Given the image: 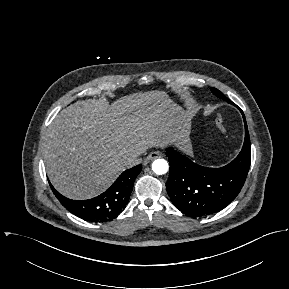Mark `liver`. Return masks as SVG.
I'll return each instance as SVG.
<instances>
[{"mask_svg":"<svg viewBox=\"0 0 289 289\" xmlns=\"http://www.w3.org/2000/svg\"><path fill=\"white\" fill-rule=\"evenodd\" d=\"M169 96L151 91L109 105L75 103L60 112L43 138L48 177L75 200L104 192L128 168L125 158L153 145L186 147L187 126Z\"/></svg>","mask_w":289,"mask_h":289,"instance_id":"obj_1","label":"liver"}]
</instances>
